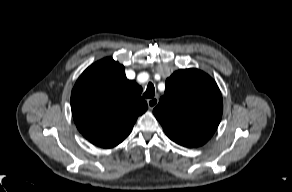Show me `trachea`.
Returning <instances> with one entry per match:
<instances>
[{
    "label": "trachea",
    "instance_id": "3493384b",
    "mask_svg": "<svg viewBox=\"0 0 292 192\" xmlns=\"http://www.w3.org/2000/svg\"><path fill=\"white\" fill-rule=\"evenodd\" d=\"M155 94V88L154 85L152 83H149L147 86V89L145 91V93L143 94V96L145 98H153Z\"/></svg>",
    "mask_w": 292,
    "mask_h": 192
}]
</instances>
